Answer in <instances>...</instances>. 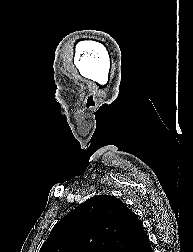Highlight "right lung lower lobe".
<instances>
[{"label":"right lung lower lobe","mask_w":193,"mask_h":252,"mask_svg":"<svg viewBox=\"0 0 193 252\" xmlns=\"http://www.w3.org/2000/svg\"><path fill=\"white\" fill-rule=\"evenodd\" d=\"M129 252H153L146 233L141 236L137 244Z\"/></svg>","instance_id":"98d812e1"}]
</instances>
